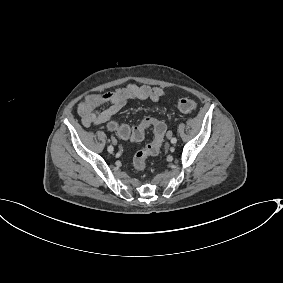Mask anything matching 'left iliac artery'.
Returning a JSON list of instances; mask_svg holds the SVG:
<instances>
[{
  "mask_svg": "<svg viewBox=\"0 0 283 283\" xmlns=\"http://www.w3.org/2000/svg\"><path fill=\"white\" fill-rule=\"evenodd\" d=\"M171 142H172L173 144H175V143L177 142V139H176L175 137H173V138L171 139Z\"/></svg>",
  "mask_w": 283,
  "mask_h": 283,
  "instance_id": "1",
  "label": "left iliac artery"
}]
</instances>
